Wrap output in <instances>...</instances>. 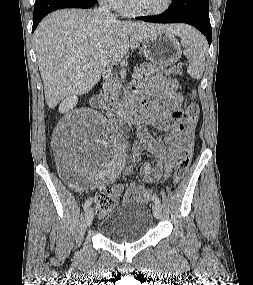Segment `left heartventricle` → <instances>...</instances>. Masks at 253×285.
<instances>
[{"label":"left heart ventricle","mask_w":253,"mask_h":285,"mask_svg":"<svg viewBox=\"0 0 253 285\" xmlns=\"http://www.w3.org/2000/svg\"><path fill=\"white\" fill-rule=\"evenodd\" d=\"M167 0H132L133 5L140 9L146 11H153L161 9Z\"/></svg>","instance_id":"left-heart-ventricle-1"}]
</instances>
